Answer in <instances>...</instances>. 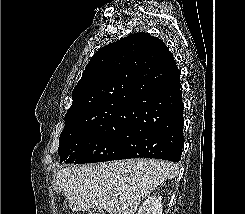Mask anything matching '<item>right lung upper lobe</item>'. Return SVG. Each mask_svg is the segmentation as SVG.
Returning <instances> with one entry per match:
<instances>
[{"label":"right lung upper lobe","mask_w":245,"mask_h":214,"mask_svg":"<svg viewBox=\"0 0 245 214\" xmlns=\"http://www.w3.org/2000/svg\"><path fill=\"white\" fill-rule=\"evenodd\" d=\"M171 59L165 43L144 32L99 49L73 90L65 125L93 128L131 122L140 113L143 98L164 88Z\"/></svg>","instance_id":"right-lung-upper-lobe-1"}]
</instances>
